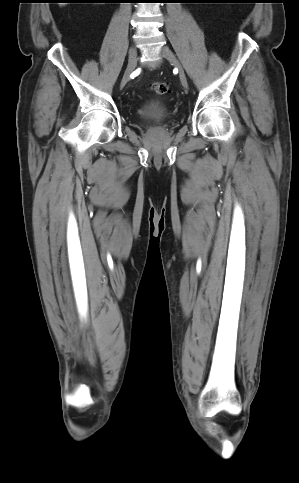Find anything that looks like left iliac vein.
Segmentation results:
<instances>
[{"mask_svg":"<svg viewBox=\"0 0 299 483\" xmlns=\"http://www.w3.org/2000/svg\"><path fill=\"white\" fill-rule=\"evenodd\" d=\"M161 55L164 58H166L178 70L180 82H181L182 86L184 87V89L187 90L188 89L187 77H186V74H185L183 67L181 66V64H180L179 60L177 59V57L175 56V54L168 47L164 46L161 49Z\"/></svg>","mask_w":299,"mask_h":483,"instance_id":"obj_1","label":"left iliac vein"}]
</instances>
